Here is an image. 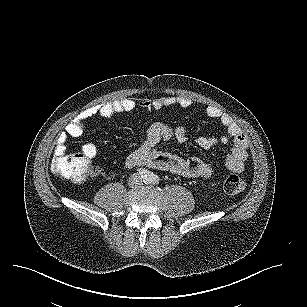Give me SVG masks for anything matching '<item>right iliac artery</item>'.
<instances>
[{
	"label": "right iliac artery",
	"mask_w": 307,
	"mask_h": 307,
	"mask_svg": "<svg viewBox=\"0 0 307 307\" xmlns=\"http://www.w3.org/2000/svg\"><path fill=\"white\" fill-rule=\"evenodd\" d=\"M139 174H141L142 177H147L148 171L145 169H138Z\"/></svg>",
	"instance_id": "1"
}]
</instances>
